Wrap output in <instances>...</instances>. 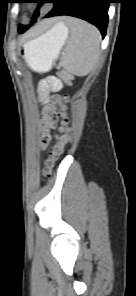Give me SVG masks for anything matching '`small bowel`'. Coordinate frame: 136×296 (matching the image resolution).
I'll return each mask as SVG.
<instances>
[{"instance_id": "1", "label": "small bowel", "mask_w": 136, "mask_h": 296, "mask_svg": "<svg viewBox=\"0 0 136 296\" xmlns=\"http://www.w3.org/2000/svg\"><path fill=\"white\" fill-rule=\"evenodd\" d=\"M48 87H51L52 89H58L60 87L59 82L55 79L49 80V81H43L41 83V88L43 90H46Z\"/></svg>"}]
</instances>
